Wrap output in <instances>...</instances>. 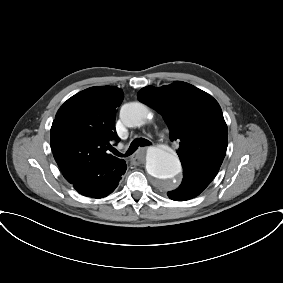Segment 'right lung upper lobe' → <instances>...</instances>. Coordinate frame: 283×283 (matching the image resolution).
<instances>
[{"instance_id": "right-lung-upper-lobe-1", "label": "right lung upper lobe", "mask_w": 283, "mask_h": 283, "mask_svg": "<svg viewBox=\"0 0 283 283\" xmlns=\"http://www.w3.org/2000/svg\"><path fill=\"white\" fill-rule=\"evenodd\" d=\"M123 98L120 88L91 87L69 98L58 110L51 127V149L69 183L95 174L101 164L125 163L108 152L111 141H119L115 117Z\"/></svg>"}]
</instances>
